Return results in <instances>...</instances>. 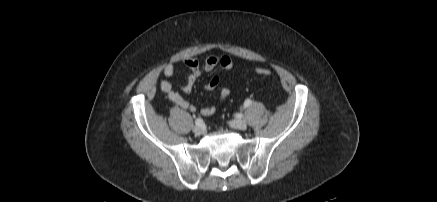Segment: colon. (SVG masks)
I'll list each match as a JSON object with an SVG mask.
<instances>
[{
    "instance_id": "obj_1",
    "label": "colon",
    "mask_w": 437,
    "mask_h": 202,
    "mask_svg": "<svg viewBox=\"0 0 437 202\" xmlns=\"http://www.w3.org/2000/svg\"><path fill=\"white\" fill-rule=\"evenodd\" d=\"M256 74H258L259 76H263V77H267L271 74V71L267 68H257L255 70Z\"/></svg>"
}]
</instances>
